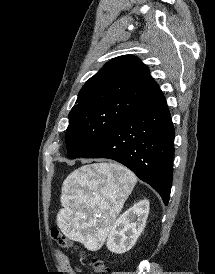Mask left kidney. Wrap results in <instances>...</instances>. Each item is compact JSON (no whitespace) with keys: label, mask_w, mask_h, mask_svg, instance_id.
Returning <instances> with one entry per match:
<instances>
[{"label":"left kidney","mask_w":215,"mask_h":274,"mask_svg":"<svg viewBox=\"0 0 215 274\" xmlns=\"http://www.w3.org/2000/svg\"><path fill=\"white\" fill-rule=\"evenodd\" d=\"M148 214L149 201L141 200L120 215L107 238L109 251L117 254L129 251L144 230Z\"/></svg>","instance_id":"obj_1"}]
</instances>
